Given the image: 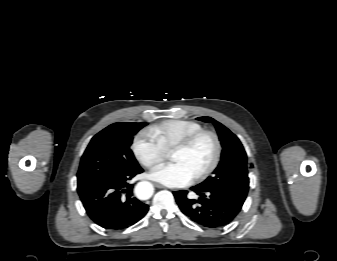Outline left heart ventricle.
<instances>
[{
	"label": "left heart ventricle",
	"mask_w": 337,
	"mask_h": 261,
	"mask_svg": "<svg viewBox=\"0 0 337 261\" xmlns=\"http://www.w3.org/2000/svg\"><path fill=\"white\" fill-rule=\"evenodd\" d=\"M215 144L210 136L201 137L191 148L171 154V160L184 164L196 176L212 162Z\"/></svg>",
	"instance_id": "1"
}]
</instances>
